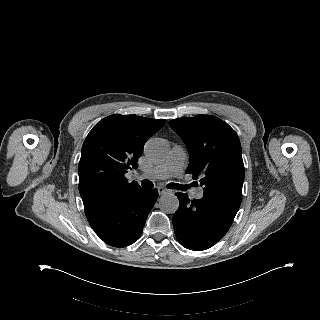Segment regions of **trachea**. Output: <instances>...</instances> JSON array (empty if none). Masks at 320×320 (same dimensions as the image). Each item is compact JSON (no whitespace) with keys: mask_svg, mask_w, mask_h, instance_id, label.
<instances>
[{"mask_svg":"<svg viewBox=\"0 0 320 320\" xmlns=\"http://www.w3.org/2000/svg\"><path fill=\"white\" fill-rule=\"evenodd\" d=\"M142 187L152 188L154 185L150 180H142ZM191 185H180L175 183L168 184V188L186 191Z\"/></svg>","mask_w":320,"mask_h":320,"instance_id":"trachea-1","label":"trachea"}]
</instances>
